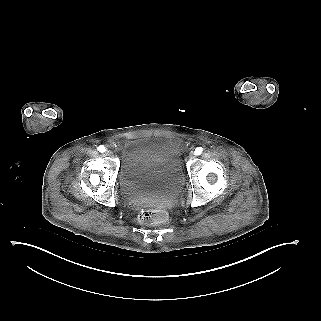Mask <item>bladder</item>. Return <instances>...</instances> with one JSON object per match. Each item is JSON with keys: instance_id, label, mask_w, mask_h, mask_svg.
<instances>
[{"instance_id": "bladder-1", "label": "bladder", "mask_w": 321, "mask_h": 321, "mask_svg": "<svg viewBox=\"0 0 321 321\" xmlns=\"http://www.w3.org/2000/svg\"><path fill=\"white\" fill-rule=\"evenodd\" d=\"M118 179L121 191L134 204L173 200L184 183L177 145L164 138L128 140L121 153Z\"/></svg>"}]
</instances>
